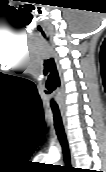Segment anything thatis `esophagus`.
<instances>
[{"label": "esophagus", "instance_id": "esophagus-1", "mask_svg": "<svg viewBox=\"0 0 106 172\" xmlns=\"http://www.w3.org/2000/svg\"><path fill=\"white\" fill-rule=\"evenodd\" d=\"M61 117H62V123H63L64 129H65V133L67 134V120H66V116L63 110H61ZM71 163L72 165H74V159L72 156H71Z\"/></svg>", "mask_w": 106, "mask_h": 172}]
</instances>
